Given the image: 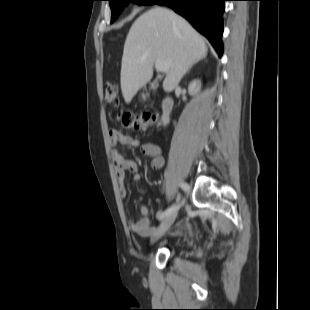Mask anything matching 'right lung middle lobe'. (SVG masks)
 I'll use <instances>...</instances> for the list:
<instances>
[{
  "label": "right lung middle lobe",
  "instance_id": "dd1d6c3e",
  "mask_svg": "<svg viewBox=\"0 0 310 310\" xmlns=\"http://www.w3.org/2000/svg\"><path fill=\"white\" fill-rule=\"evenodd\" d=\"M108 1L112 11L111 23H113L122 12L125 4L132 1L134 3H137L138 5H152L155 0H108Z\"/></svg>",
  "mask_w": 310,
  "mask_h": 310
}]
</instances>
